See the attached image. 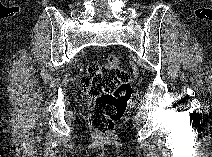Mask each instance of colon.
<instances>
[{
  "mask_svg": "<svg viewBox=\"0 0 212 157\" xmlns=\"http://www.w3.org/2000/svg\"><path fill=\"white\" fill-rule=\"evenodd\" d=\"M82 90L95 98L89 114L91 127L102 138L110 137L127 109L132 89L130 76L114 54L100 64L91 62L81 80Z\"/></svg>",
  "mask_w": 212,
  "mask_h": 157,
  "instance_id": "obj_1",
  "label": "colon"
}]
</instances>
